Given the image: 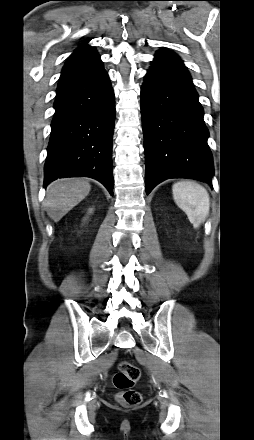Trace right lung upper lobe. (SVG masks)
Returning <instances> with one entry per match:
<instances>
[{"label":"right lung upper lobe","instance_id":"right-lung-upper-lobe-1","mask_svg":"<svg viewBox=\"0 0 254 440\" xmlns=\"http://www.w3.org/2000/svg\"><path fill=\"white\" fill-rule=\"evenodd\" d=\"M98 61H100V56L95 48L85 42L69 56L63 67L62 75L82 69Z\"/></svg>","mask_w":254,"mask_h":440}]
</instances>
